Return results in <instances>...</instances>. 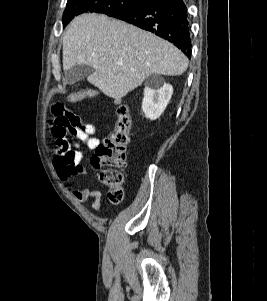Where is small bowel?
<instances>
[{
  "mask_svg": "<svg viewBox=\"0 0 267 301\" xmlns=\"http://www.w3.org/2000/svg\"><path fill=\"white\" fill-rule=\"evenodd\" d=\"M51 110L54 120L50 123V131L57 147L53 165L59 179L66 184L76 175L87 174V169L82 165L84 155L80 143H84L89 149H95L100 140L96 137L97 129L94 124L83 122L63 104L54 103ZM68 189L80 202L92 200V210L100 211V191L87 188L77 190L72 187Z\"/></svg>",
  "mask_w": 267,
  "mask_h": 301,
  "instance_id": "c3829d8e",
  "label": "small bowel"
}]
</instances>
